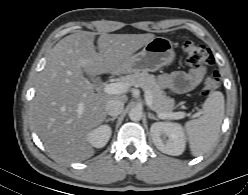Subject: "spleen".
I'll list each match as a JSON object with an SVG mask.
<instances>
[{
    "label": "spleen",
    "mask_w": 248,
    "mask_h": 195,
    "mask_svg": "<svg viewBox=\"0 0 248 195\" xmlns=\"http://www.w3.org/2000/svg\"><path fill=\"white\" fill-rule=\"evenodd\" d=\"M224 96L212 92L202 105L203 115L185 123L189 147L193 156L208 152L218 139L224 118Z\"/></svg>",
    "instance_id": "3e777b00"
}]
</instances>
